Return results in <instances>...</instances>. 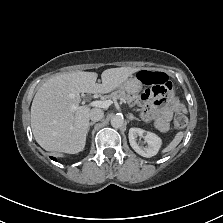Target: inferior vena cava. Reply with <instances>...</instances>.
<instances>
[{"mask_svg":"<svg viewBox=\"0 0 223 223\" xmlns=\"http://www.w3.org/2000/svg\"><path fill=\"white\" fill-rule=\"evenodd\" d=\"M104 112L100 108H93L89 113V118L92 121H99L103 118Z\"/></svg>","mask_w":223,"mask_h":223,"instance_id":"inferior-vena-cava-1","label":"inferior vena cava"}]
</instances>
